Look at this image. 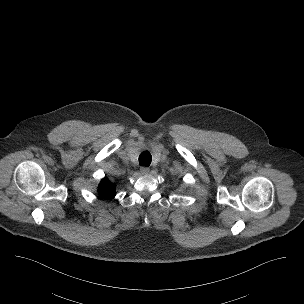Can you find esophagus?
Returning a JSON list of instances; mask_svg holds the SVG:
<instances>
[{"label": "esophagus", "instance_id": "1", "mask_svg": "<svg viewBox=\"0 0 304 304\" xmlns=\"http://www.w3.org/2000/svg\"><path fill=\"white\" fill-rule=\"evenodd\" d=\"M149 171H150V169L148 167H141L140 168V172H141L142 175L148 174Z\"/></svg>", "mask_w": 304, "mask_h": 304}]
</instances>
